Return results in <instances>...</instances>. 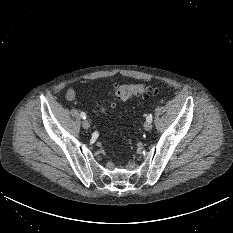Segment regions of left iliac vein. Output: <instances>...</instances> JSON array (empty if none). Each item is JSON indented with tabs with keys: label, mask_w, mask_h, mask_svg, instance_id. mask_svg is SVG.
Wrapping results in <instances>:
<instances>
[{
	"label": "left iliac vein",
	"mask_w": 233,
	"mask_h": 233,
	"mask_svg": "<svg viewBox=\"0 0 233 233\" xmlns=\"http://www.w3.org/2000/svg\"><path fill=\"white\" fill-rule=\"evenodd\" d=\"M144 128H145V130H147V131L151 130V128H152L151 122H146V123L144 124Z\"/></svg>",
	"instance_id": "obj_1"
}]
</instances>
